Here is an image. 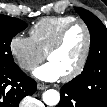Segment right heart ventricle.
<instances>
[{"label": "right heart ventricle", "mask_w": 107, "mask_h": 107, "mask_svg": "<svg viewBox=\"0 0 107 107\" xmlns=\"http://www.w3.org/2000/svg\"><path fill=\"white\" fill-rule=\"evenodd\" d=\"M72 16H49L37 21L30 29V37L37 47L46 54L60 31L70 22Z\"/></svg>", "instance_id": "e07e8e85"}]
</instances>
